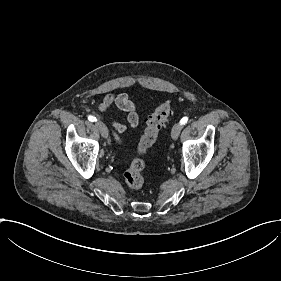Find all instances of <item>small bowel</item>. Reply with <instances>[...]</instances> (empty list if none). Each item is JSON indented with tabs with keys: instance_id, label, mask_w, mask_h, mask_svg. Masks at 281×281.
Masks as SVG:
<instances>
[{
	"instance_id": "obj_1",
	"label": "small bowel",
	"mask_w": 281,
	"mask_h": 281,
	"mask_svg": "<svg viewBox=\"0 0 281 281\" xmlns=\"http://www.w3.org/2000/svg\"><path fill=\"white\" fill-rule=\"evenodd\" d=\"M115 109L123 112L124 119L130 127L134 128L138 125L139 118L135 105L127 95L112 92L98 106V111L102 114ZM110 124L117 133H124L127 130V125L117 119H111Z\"/></svg>"
}]
</instances>
